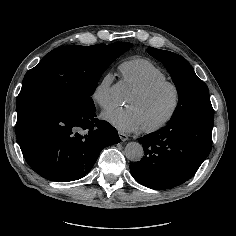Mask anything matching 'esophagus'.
<instances>
[{
    "label": "esophagus",
    "instance_id": "1",
    "mask_svg": "<svg viewBox=\"0 0 236 236\" xmlns=\"http://www.w3.org/2000/svg\"><path fill=\"white\" fill-rule=\"evenodd\" d=\"M119 137H120L121 141L128 140V136L126 134H124L123 132H119Z\"/></svg>",
    "mask_w": 236,
    "mask_h": 236
}]
</instances>
